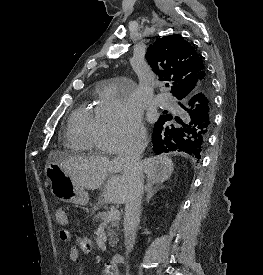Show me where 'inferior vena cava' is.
I'll list each match as a JSON object with an SVG mask.
<instances>
[{
	"label": "inferior vena cava",
	"mask_w": 263,
	"mask_h": 275,
	"mask_svg": "<svg viewBox=\"0 0 263 275\" xmlns=\"http://www.w3.org/2000/svg\"><path fill=\"white\" fill-rule=\"evenodd\" d=\"M146 146V136L138 137L124 144L116 158V161L121 166L122 176L128 183L123 223L126 255L133 250L137 226L140 222L144 183L140 159Z\"/></svg>",
	"instance_id": "obj_1"
}]
</instances>
